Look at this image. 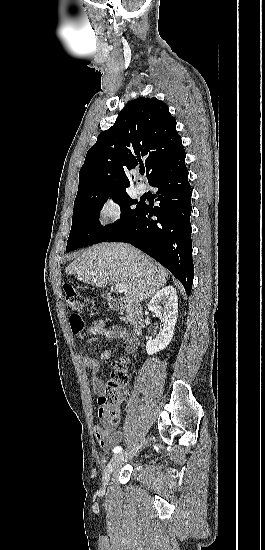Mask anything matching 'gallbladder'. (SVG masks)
<instances>
[{
	"instance_id": "1",
	"label": "gallbladder",
	"mask_w": 265,
	"mask_h": 550,
	"mask_svg": "<svg viewBox=\"0 0 265 550\" xmlns=\"http://www.w3.org/2000/svg\"><path fill=\"white\" fill-rule=\"evenodd\" d=\"M101 296H102L103 298H108V297L110 296V293H107V292H106V293H103Z\"/></svg>"
}]
</instances>
